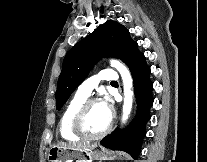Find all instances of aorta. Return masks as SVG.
Instances as JSON below:
<instances>
[{
	"instance_id": "obj_1",
	"label": "aorta",
	"mask_w": 207,
	"mask_h": 162,
	"mask_svg": "<svg viewBox=\"0 0 207 162\" xmlns=\"http://www.w3.org/2000/svg\"><path fill=\"white\" fill-rule=\"evenodd\" d=\"M111 66L116 68L117 71L120 73L122 82H123V89H124V103H123V110H122V122H126L128 119L132 104H133V80L128 68L118 60H111Z\"/></svg>"
}]
</instances>
